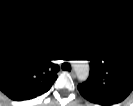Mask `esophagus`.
Instances as JSON below:
<instances>
[{"label": "esophagus", "instance_id": "34e87169", "mask_svg": "<svg viewBox=\"0 0 133 106\" xmlns=\"http://www.w3.org/2000/svg\"><path fill=\"white\" fill-rule=\"evenodd\" d=\"M71 75H72L73 77H75V72H74V71H72V72H71Z\"/></svg>", "mask_w": 133, "mask_h": 106}]
</instances>
